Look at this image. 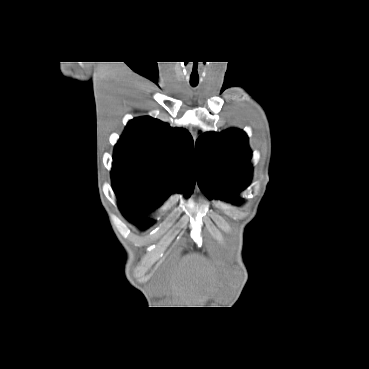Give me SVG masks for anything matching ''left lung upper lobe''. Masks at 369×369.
Returning a JSON list of instances; mask_svg holds the SVG:
<instances>
[{"instance_id": "obj_1", "label": "left lung upper lobe", "mask_w": 369, "mask_h": 369, "mask_svg": "<svg viewBox=\"0 0 369 369\" xmlns=\"http://www.w3.org/2000/svg\"><path fill=\"white\" fill-rule=\"evenodd\" d=\"M251 155L248 137L241 130L206 132L200 136L195 145V169L204 194L209 199L233 201L251 181Z\"/></svg>"}]
</instances>
